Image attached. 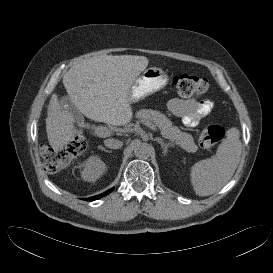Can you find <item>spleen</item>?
<instances>
[{
  "mask_svg": "<svg viewBox=\"0 0 273 273\" xmlns=\"http://www.w3.org/2000/svg\"><path fill=\"white\" fill-rule=\"evenodd\" d=\"M226 136L218 146L216 155L195 163L191 168V184L198 196L217 192L235 173L242 151L239 131L230 128Z\"/></svg>",
  "mask_w": 273,
  "mask_h": 273,
  "instance_id": "obj_1",
  "label": "spleen"
}]
</instances>
